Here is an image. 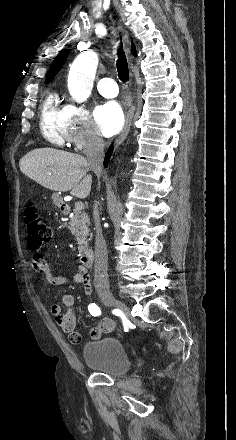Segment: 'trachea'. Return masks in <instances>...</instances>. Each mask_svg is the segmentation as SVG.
I'll use <instances>...</instances> for the list:
<instances>
[{"mask_svg": "<svg viewBox=\"0 0 236 440\" xmlns=\"http://www.w3.org/2000/svg\"><path fill=\"white\" fill-rule=\"evenodd\" d=\"M117 71L118 77L122 82H126L129 80L128 62L122 48L118 49Z\"/></svg>", "mask_w": 236, "mask_h": 440, "instance_id": "obj_1", "label": "trachea"}]
</instances>
